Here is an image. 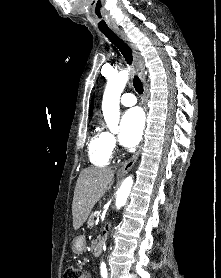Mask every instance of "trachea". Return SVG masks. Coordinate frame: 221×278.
Here are the masks:
<instances>
[{
    "label": "trachea",
    "instance_id": "3493384b",
    "mask_svg": "<svg viewBox=\"0 0 221 278\" xmlns=\"http://www.w3.org/2000/svg\"><path fill=\"white\" fill-rule=\"evenodd\" d=\"M110 41L112 44H114L122 53L124 56L126 62L131 65L132 63V52L129 48V46L124 43L113 31L111 30H102L101 31ZM133 85L135 90L139 93H143V85L141 80L137 75H134L133 78Z\"/></svg>",
    "mask_w": 221,
    "mask_h": 278
}]
</instances>
